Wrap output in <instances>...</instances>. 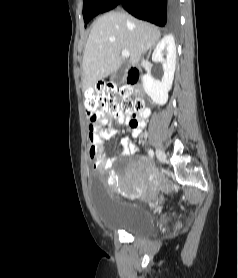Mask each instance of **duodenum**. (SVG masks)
<instances>
[{"label":"duodenum","instance_id":"obj_1","mask_svg":"<svg viewBox=\"0 0 238 278\" xmlns=\"http://www.w3.org/2000/svg\"><path fill=\"white\" fill-rule=\"evenodd\" d=\"M139 71L135 68H129L127 71H126V81H127V84L131 87H134L138 80H139Z\"/></svg>","mask_w":238,"mask_h":278}]
</instances>
